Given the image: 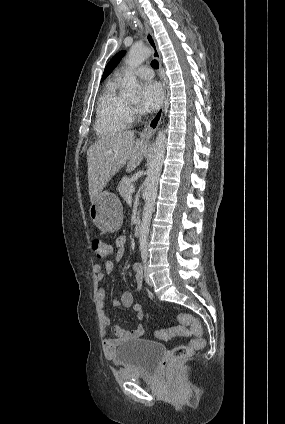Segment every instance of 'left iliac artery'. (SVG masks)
<instances>
[{
	"instance_id": "44dca946",
	"label": "left iliac artery",
	"mask_w": 285,
	"mask_h": 424,
	"mask_svg": "<svg viewBox=\"0 0 285 424\" xmlns=\"http://www.w3.org/2000/svg\"><path fill=\"white\" fill-rule=\"evenodd\" d=\"M141 255H142V260H143V262L145 263V262H146V260H147V255H148V252H147V249H146V248H143V249H142V251H141ZM141 272H142V270H141Z\"/></svg>"
}]
</instances>
